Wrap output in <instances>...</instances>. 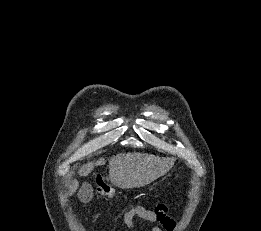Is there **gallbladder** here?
<instances>
[{
	"label": "gallbladder",
	"instance_id": "gallbladder-1",
	"mask_svg": "<svg viewBox=\"0 0 261 231\" xmlns=\"http://www.w3.org/2000/svg\"><path fill=\"white\" fill-rule=\"evenodd\" d=\"M92 188L89 184H83L82 188L80 189L79 193H78V197L81 201H86L87 199L85 198V196L91 197L92 195Z\"/></svg>",
	"mask_w": 261,
	"mask_h": 231
}]
</instances>
